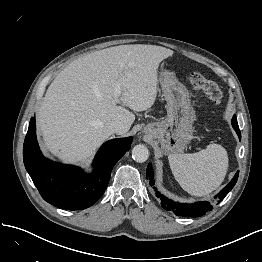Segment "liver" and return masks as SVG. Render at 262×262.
<instances>
[{
  "label": "liver",
  "instance_id": "obj_1",
  "mask_svg": "<svg viewBox=\"0 0 262 262\" xmlns=\"http://www.w3.org/2000/svg\"><path fill=\"white\" fill-rule=\"evenodd\" d=\"M173 51L156 45H120L80 57L53 80L38 109L44 147L65 162H80L110 136L105 126L122 124L127 133L132 111L152 107L158 67Z\"/></svg>",
  "mask_w": 262,
  "mask_h": 262
}]
</instances>
